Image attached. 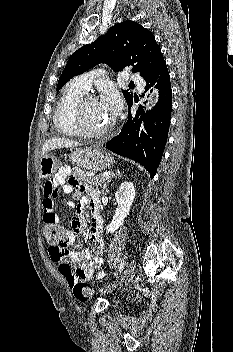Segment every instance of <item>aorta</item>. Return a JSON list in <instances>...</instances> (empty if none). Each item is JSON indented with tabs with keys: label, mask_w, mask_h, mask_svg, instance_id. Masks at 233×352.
<instances>
[{
	"label": "aorta",
	"mask_w": 233,
	"mask_h": 352,
	"mask_svg": "<svg viewBox=\"0 0 233 352\" xmlns=\"http://www.w3.org/2000/svg\"><path fill=\"white\" fill-rule=\"evenodd\" d=\"M158 92L156 90L153 91V93L151 94V96L149 97V101L147 103L146 106V110H150L151 108H153L155 106V104L158 101Z\"/></svg>",
	"instance_id": "obj_1"
}]
</instances>
